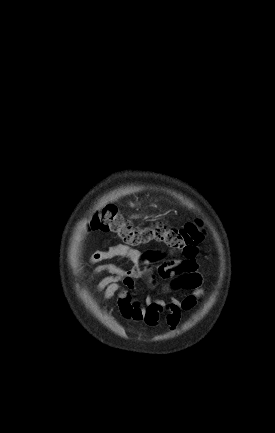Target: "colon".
Here are the masks:
<instances>
[{
	"mask_svg": "<svg viewBox=\"0 0 275 433\" xmlns=\"http://www.w3.org/2000/svg\"><path fill=\"white\" fill-rule=\"evenodd\" d=\"M90 228L114 234L128 246L162 243L176 254L186 258L197 253V245L203 238V232L197 222H190L181 227H171L164 222L137 226L119 214L114 205H108L96 212Z\"/></svg>",
	"mask_w": 275,
	"mask_h": 433,
	"instance_id": "5ec220e1",
	"label": "colon"
}]
</instances>
